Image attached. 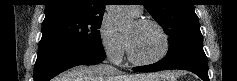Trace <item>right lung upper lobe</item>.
<instances>
[{
    "mask_svg": "<svg viewBox=\"0 0 237 81\" xmlns=\"http://www.w3.org/2000/svg\"><path fill=\"white\" fill-rule=\"evenodd\" d=\"M106 0H48L45 19L62 15L102 16Z\"/></svg>",
    "mask_w": 237,
    "mask_h": 81,
    "instance_id": "right-lung-upper-lobe-1",
    "label": "right lung upper lobe"
}]
</instances>
